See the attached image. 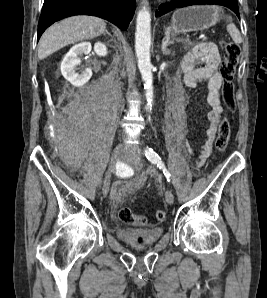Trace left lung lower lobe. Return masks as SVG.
<instances>
[{"label":"left lung lower lobe","instance_id":"left-lung-lower-lobe-1","mask_svg":"<svg viewBox=\"0 0 267 298\" xmlns=\"http://www.w3.org/2000/svg\"><path fill=\"white\" fill-rule=\"evenodd\" d=\"M196 4H217L226 6L234 11L240 18L237 0H173L171 2L160 5L159 10L156 12V16H161L173 10L176 6L182 8Z\"/></svg>","mask_w":267,"mask_h":298}]
</instances>
